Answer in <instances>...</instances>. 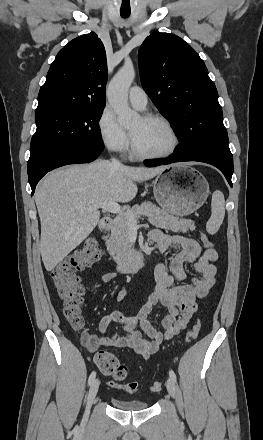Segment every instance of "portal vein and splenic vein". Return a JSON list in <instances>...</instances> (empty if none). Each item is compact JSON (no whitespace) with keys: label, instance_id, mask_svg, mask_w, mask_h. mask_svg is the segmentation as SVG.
<instances>
[{"label":"portal vein and splenic vein","instance_id":"portal-vein-and-splenic-vein-1","mask_svg":"<svg viewBox=\"0 0 263 440\" xmlns=\"http://www.w3.org/2000/svg\"><path fill=\"white\" fill-rule=\"evenodd\" d=\"M93 208H102L103 210L110 212V213H114V214H118L120 216L125 215L128 220H129V227L132 229H135L137 227V222L134 219V216L132 214L123 212V210L121 209V206L118 203L115 202H104L98 206H90L87 209H93ZM143 215L149 216V214L143 212Z\"/></svg>","mask_w":263,"mask_h":440}]
</instances>
